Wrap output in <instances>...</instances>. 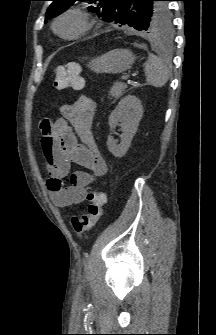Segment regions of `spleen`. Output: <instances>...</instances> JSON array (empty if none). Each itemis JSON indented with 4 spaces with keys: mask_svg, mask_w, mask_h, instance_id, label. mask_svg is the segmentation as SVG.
I'll return each instance as SVG.
<instances>
[{
    "mask_svg": "<svg viewBox=\"0 0 216 335\" xmlns=\"http://www.w3.org/2000/svg\"><path fill=\"white\" fill-rule=\"evenodd\" d=\"M146 82L154 87H162L169 79L170 71L167 65L154 54H149L145 63Z\"/></svg>",
    "mask_w": 216,
    "mask_h": 335,
    "instance_id": "3e777b00",
    "label": "spleen"
}]
</instances>
